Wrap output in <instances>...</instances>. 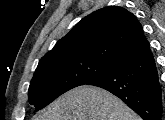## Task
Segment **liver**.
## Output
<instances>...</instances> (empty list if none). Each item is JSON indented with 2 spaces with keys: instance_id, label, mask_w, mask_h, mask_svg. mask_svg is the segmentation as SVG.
Listing matches in <instances>:
<instances>
[{
  "instance_id": "liver-1",
  "label": "liver",
  "mask_w": 165,
  "mask_h": 120,
  "mask_svg": "<svg viewBox=\"0 0 165 120\" xmlns=\"http://www.w3.org/2000/svg\"><path fill=\"white\" fill-rule=\"evenodd\" d=\"M33 120H141L123 101L95 86H79L53 101Z\"/></svg>"
}]
</instances>
